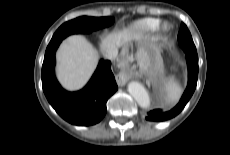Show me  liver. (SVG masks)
Listing matches in <instances>:
<instances>
[{"label": "liver", "mask_w": 230, "mask_h": 155, "mask_svg": "<svg viewBox=\"0 0 230 155\" xmlns=\"http://www.w3.org/2000/svg\"><path fill=\"white\" fill-rule=\"evenodd\" d=\"M138 35L129 29L114 31L104 37L100 50L104 55L111 48H119ZM56 75L64 88L70 91L81 89L91 78L98 64V52L81 35L69 36L56 53Z\"/></svg>", "instance_id": "liver-1"}]
</instances>
